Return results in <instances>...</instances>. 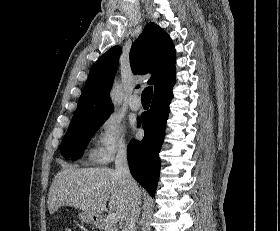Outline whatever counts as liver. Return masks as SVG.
<instances>
[{
    "label": "liver",
    "mask_w": 280,
    "mask_h": 231,
    "mask_svg": "<svg viewBox=\"0 0 280 231\" xmlns=\"http://www.w3.org/2000/svg\"><path fill=\"white\" fill-rule=\"evenodd\" d=\"M133 191L134 187L110 167L63 165L51 183L48 209L54 213L61 205H73L90 213L91 217H100L109 199V209L117 213L120 221H126Z\"/></svg>",
    "instance_id": "6515ba94"
}]
</instances>
